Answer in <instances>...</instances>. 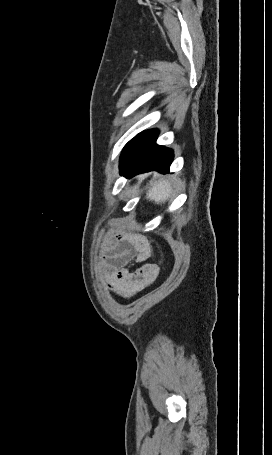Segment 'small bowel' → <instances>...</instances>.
<instances>
[{
	"label": "small bowel",
	"mask_w": 272,
	"mask_h": 455,
	"mask_svg": "<svg viewBox=\"0 0 272 455\" xmlns=\"http://www.w3.org/2000/svg\"><path fill=\"white\" fill-rule=\"evenodd\" d=\"M151 255L148 240L136 234H120L108 243L104 255L103 274L107 285L118 295L131 297L151 285L159 269L146 261ZM141 263L135 270L132 263Z\"/></svg>",
	"instance_id": "c3829d8e"
}]
</instances>
